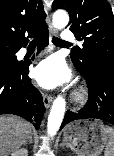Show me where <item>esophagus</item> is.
Returning a JSON list of instances; mask_svg holds the SVG:
<instances>
[{
    "mask_svg": "<svg viewBox=\"0 0 114 156\" xmlns=\"http://www.w3.org/2000/svg\"><path fill=\"white\" fill-rule=\"evenodd\" d=\"M49 34H50V40L52 39L53 36H56L57 34V31L52 25H50L49 27ZM52 101H53V97L51 95L43 93V103L46 108H48L51 105Z\"/></svg>",
    "mask_w": 114,
    "mask_h": 156,
    "instance_id": "34e87169",
    "label": "esophagus"
}]
</instances>
